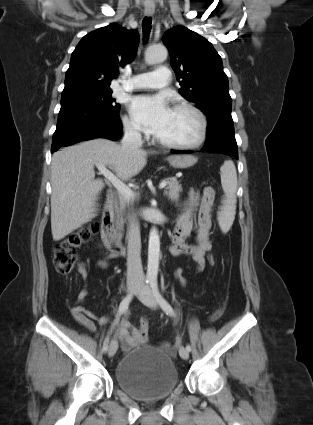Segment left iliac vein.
<instances>
[{
  "instance_id": "left-iliac-vein-1",
  "label": "left iliac vein",
  "mask_w": 313,
  "mask_h": 425,
  "mask_svg": "<svg viewBox=\"0 0 313 425\" xmlns=\"http://www.w3.org/2000/svg\"><path fill=\"white\" fill-rule=\"evenodd\" d=\"M138 295H139V299L141 300V302L143 304H145L146 306L153 308V309L157 308V300L154 297V295H153V293H152V291H151V289L148 285L139 284ZM179 355L183 359H188L189 358V351L185 347H180Z\"/></svg>"
}]
</instances>
